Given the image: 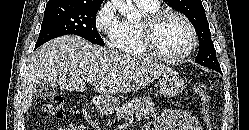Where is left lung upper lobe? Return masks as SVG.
Segmentation results:
<instances>
[{
    "instance_id": "obj_1",
    "label": "left lung upper lobe",
    "mask_w": 249,
    "mask_h": 130,
    "mask_svg": "<svg viewBox=\"0 0 249 130\" xmlns=\"http://www.w3.org/2000/svg\"><path fill=\"white\" fill-rule=\"evenodd\" d=\"M167 5L183 13L194 26L200 46L195 61L205 67L219 71L220 64L211 40L209 24L201 0H164Z\"/></svg>"
}]
</instances>
